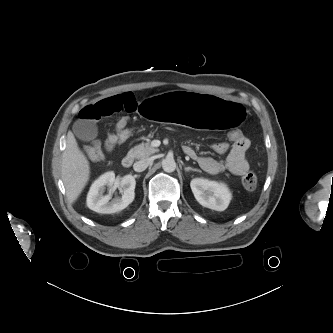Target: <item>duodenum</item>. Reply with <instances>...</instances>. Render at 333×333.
Segmentation results:
<instances>
[{"instance_id":"duodenum-1","label":"duodenum","mask_w":333,"mask_h":333,"mask_svg":"<svg viewBox=\"0 0 333 333\" xmlns=\"http://www.w3.org/2000/svg\"><path fill=\"white\" fill-rule=\"evenodd\" d=\"M133 156L126 155L123 157L121 164L124 168H129L133 164Z\"/></svg>"}]
</instances>
